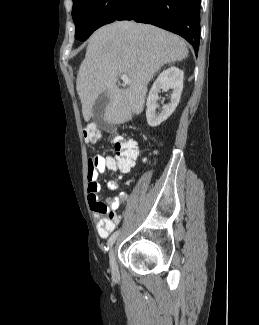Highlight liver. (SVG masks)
<instances>
[{"label": "liver", "mask_w": 259, "mask_h": 325, "mask_svg": "<svg viewBox=\"0 0 259 325\" xmlns=\"http://www.w3.org/2000/svg\"><path fill=\"white\" fill-rule=\"evenodd\" d=\"M188 56L185 42L177 35L149 24L116 21L99 28L91 36L82 61L76 89L82 103L84 120L92 117V108L105 93L109 102L104 121L123 124L143 111L147 85L164 65ZM131 82L117 85L121 75Z\"/></svg>", "instance_id": "liver-1"}]
</instances>
